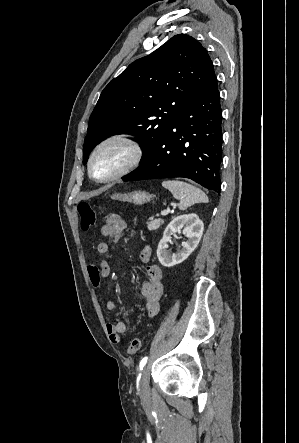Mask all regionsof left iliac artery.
<instances>
[{
    "mask_svg": "<svg viewBox=\"0 0 299 443\" xmlns=\"http://www.w3.org/2000/svg\"><path fill=\"white\" fill-rule=\"evenodd\" d=\"M147 360H148V357L146 356V357H144V358L140 361V363H139V369H140V371L143 370L144 366H145L146 363H147ZM140 376H141V373H139V377H140Z\"/></svg>",
    "mask_w": 299,
    "mask_h": 443,
    "instance_id": "obj_1",
    "label": "left iliac artery"
}]
</instances>
